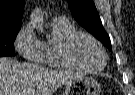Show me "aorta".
Masks as SVG:
<instances>
[{
  "label": "aorta",
  "mask_w": 135,
  "mask_h": 95,
  "mask_svg": "<svg viewBox=\"0 0 135 95\" xmlns=\"http://www.w3.org/2000/svg\"><path fill=\"white\" fill-rule=\"evenodd\" d=\"M31 24L33 28L43 31V14L39 10L31 15Z\"/></svg>",
  "instance_id": "762f6f07"
}]
</instances>
